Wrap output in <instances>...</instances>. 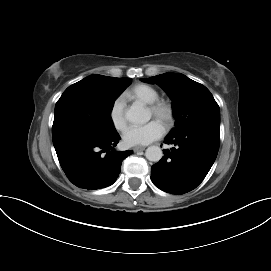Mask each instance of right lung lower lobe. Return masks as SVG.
I'll return each instance as SVG.
<instances>
[{"instance_id": "1", "label": "right lung lower lobe", "mask_w": 271, "mask_h": 271, "mask_svg": "<svg viewBox=\"0 0 271 271\" xmlns=\"http://www.w3.org/2000/svg\"><path fill=\"white\" fill-rule=\"evenodd\" d=\"M119 140L117 131H92L65 137L54 147L68 179L80 188L94 190L112 185L122 161L132 154L114 150Z\"/></svg>"}]
</instances>
